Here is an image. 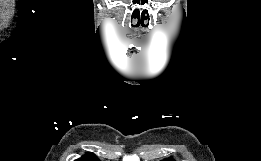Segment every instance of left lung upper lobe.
<instances>
[{"label": "left lung upper lobe", "mask_w": 261, "mask_h": 161, "mask_svg": "<svg viewBox=\"0 0 261 161\" xmlns=\"http://www.w3.org/2000/svg\"><path fill=\"white\" fill-rule=\"evenodd\" d=\"M164 161H173V160H171V159H166V160H164Z\"/></svg>", "instance_id": "obj_1"}]
</instances>
